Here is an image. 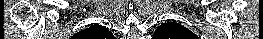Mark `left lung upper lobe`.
I'll list each match as a JSON object with an SVG mask.
<instances>
[{
    "mask_svg": "<svg viewBox=\"0 0 263 39\" xmlns=\"http://www.w3.org/2000/svg\"><path fill=\"white\" fill-rule=\"evenodd\" d=\"M154 39H198L197 35L186 27L175 23L167 22L161 24L153 35Z\"/></svg>",
    "mask_w": 263,
    "mask_h": 39,
    "instance_id": "1",
    "label": "left lung upper lobe"
}]
</instances>
